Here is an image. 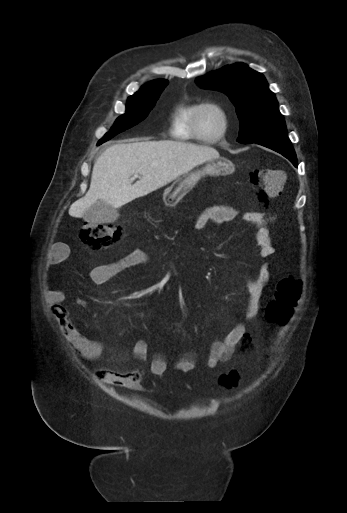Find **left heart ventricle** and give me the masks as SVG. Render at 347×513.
I'll list each match as a JSON object with an SVG mask.
<instances>
[{
    "instance_id": "obj_1",
    "label": "left heart ventricle",
    "mask_w": 347,
    "mask_h": 513,
    "mask_svg": "<svg viewBox=\"0 0 347 513\" xmlns=\"http://www.w3.org/2000/svg\"><path fill=\"white\" fill-rule=\"evenodd\" d=\"M200 133L205 138L214 137L222 128L220 114L214 109L203 110L198 119Z\"/></svg>"
}]
</instances>
